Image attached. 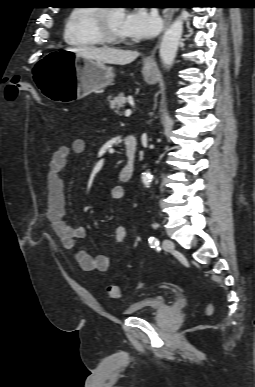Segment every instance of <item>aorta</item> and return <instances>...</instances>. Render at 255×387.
<instances>
[{"instance_id":"1","label":"aorta","mask_w":255,"mask_h":387,"mask_svg":"<svg viewBox=\"0 0 255 387\" xmlns=\"http://www.w3.org/2000/svg\"><path fill=\"white\" fill-rule=\"evenodd\" d=\"M183 22L184 18L179 16L166 30L164 33L160 49L159 55L160 59L164 66L170 68L176 57V53L178 50L179 42L183 34ZM142 182L146 188L149 187L151 182V175L148 172L143 173Z\"/></svg>"}]
</instances>
